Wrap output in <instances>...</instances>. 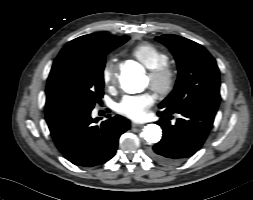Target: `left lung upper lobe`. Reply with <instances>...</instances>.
I'll list each match as a JSON object with an SVG mask.
<instances>
[{"label": "left lung upper lobe", "mask_w": 253, "mask_h": 200, "mask_svg": "<svg viewBox=\"0 0 253 200\" xmlns=\"http://www.w3.org/2000/svg\"><path fill=\"white\" fill-rule=\"evenodd\" d=\"M156 40L170 49L179 71L174 90L159 107L169 113L194 109L217 111L219 69L210 53L198 43L177 35L164 34Z\"/></svg>", "instance_id": "left-lung-upper-lobe-1"}]
</instances>
